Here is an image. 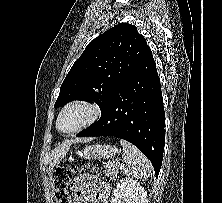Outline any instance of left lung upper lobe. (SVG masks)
Returning <instances> with one entry per match:
<instances>
[{
	"mask_svg": "<svg viewBox=\"0 0 222 203\" xmlns=\"http://www.w3.org/2000/svg\"><path fill=\"white\" fill-rule=\"evenodd\" d=\"M149 46L134 25L120 23L92 40L64 79L55 108L73 100L104 110Z\"/></svg>",
	"mask_w": 222,
	"mask_h": 203,
	"instance_id": "obj_1",
	"label": "left lung upper lobe"
}]
</instances>
